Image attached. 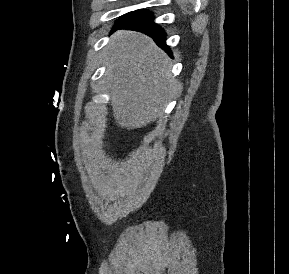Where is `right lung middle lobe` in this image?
Returning a JSON list of instances; mask_svg holds the SVG:
<instances>
[{
  "label": "right lung middle lobe",
  "mask_w": 289,
  "mask_h": 274,
  "mask_svg": "<svg viewBox=\"0 0 289 274\" xmlns=\"http://www.w3.org/2000/svg\"><path fill=\"white\" fill-rule=\"evenodd\" d=\"M144 12H146V11H145V10H137V11L129 12V13L123 15L122 17H120V18L118 19V21L116 22V25H115V27H114L113 30L117 29V28H118L119 26H121L122 24L130 21L131 19L139 16L140 14H142V13H144Z\"/></svg>",
  "instance_id": "obj_1"
}]
</instances>
